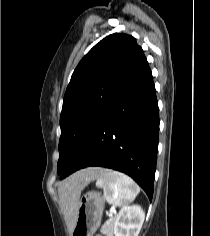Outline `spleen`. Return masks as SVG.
<instances>
[{"label": "spleen", "mask_w": 210, "mask_h": 236, "mask_svg": "<svg viewBox=\"0 0 210 236\" xmlns=\"http://www.w3.org/2000/svg\"><path fill=\"white\" fill-rule=\"evenodd\" d=\"M96 186L104 191V198L115 206L131 203L140 189L129 176L118 171L105 170L97 178Z\"/></svg>", "instance_id": "obj_1"}]
</instances>
